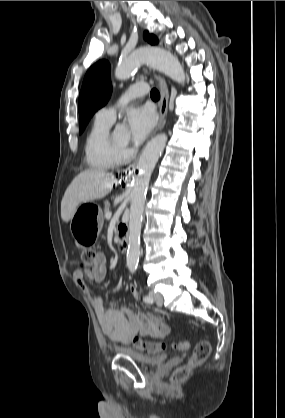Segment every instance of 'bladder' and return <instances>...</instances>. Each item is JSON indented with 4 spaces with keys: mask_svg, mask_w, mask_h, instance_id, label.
<instances>
[{
    "mask_svg": "<svg viewBox=\"0 0 285 418\" xmlns=\"http://www.w3.org/2000/svg\"><path fill=\"white\" fill-rule=\"evenodd\" d=\"M117 351L122 355L130 357L136 363L144 366H155L157 364L162 363L167 358V355L163 353L137 352L125 346L118 347Z\"/></svg>",
    "mask_w": 285,
    "mask_h": 418,
    "instance_id": "31cf9c89",
    "label": "bladder"
}]
</instances>
